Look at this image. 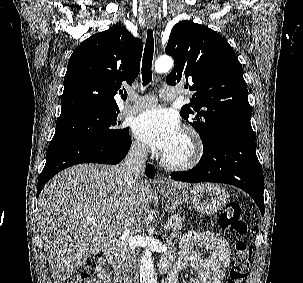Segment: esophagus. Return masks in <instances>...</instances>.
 Here are the masks:
<instances>
[{
    "mask_svg": "<svg viewBox=\"0 0 303 283\" xmlns=\"http://www.w3.org/2000/svg\"><path fill=\"white\" fill-rule=\"evenodd\" d=\"M147 22L150 26H155L156 25L155 17L148 16L147 17ZM157 182L158 183H163V176L159 172L157 173Z\"/></svg>",
    "mask_w": 303,
    "mask_h": 283,
    "instance_id": "1",
    "label": "esophagus"
}]
</instances>
